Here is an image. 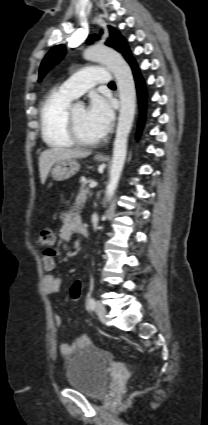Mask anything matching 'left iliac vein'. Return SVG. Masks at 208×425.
<instances>
[{
	"instance_id": "1",
	"label": "left iliac vein",
	"mask_w": 208,
	"mask_h": 425,
	"mask_svg": "<svg viewBox=\"0 0 208 425\" xmlns=\"http://www.w3.org/2000/svg\"><path fill=\"white\" fill-rule=\"evenodd\" d=\"M95 311L99 316L101 321H104L106 315V309L104 304L101 301H97L95 304Z\"/></svg>"
}]
</instances>
